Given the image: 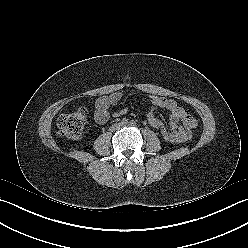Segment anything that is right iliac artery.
Returning a JSON list of instances; mask_svg holds the SVG:
<instances>
[{"label": "right iliac artery", "instance_id": "1", "mask_svg": "<svg viewBox=\"0 0 248 248\" xmlns=\"http://www.w3.org/2000/svg\"><path fill=\"white\" fill-rule=\"evenodd\" d=\"M121 123H122L123 125H126V124L128 123V119L123 118L122 121H121Z\"/></svg>", "mask_w": 248, "mask_h": 248}]
</instances>
